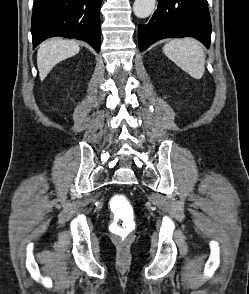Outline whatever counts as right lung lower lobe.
I'll return each mask as SVG.
<instances>
[{
  "instance_id": "right-lung-lower-lobe-1",
  "label": "right lung lower lobe",
  "mask_w": 249,
  "mask_h": 294,
  "mask_svg": "<svg viewBox=\"0 0 249 294\" xmlns=\"http://www.w3.org/2000/svg\"><path fill=\"white\" fill-rule=\"evenodd\" d=\"M101 3L102 0H34L33 48L47 38L61 36L84 40L99 52Z\"/></svg>"
}]
</instances>
